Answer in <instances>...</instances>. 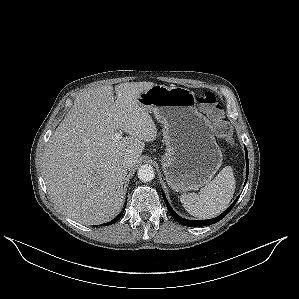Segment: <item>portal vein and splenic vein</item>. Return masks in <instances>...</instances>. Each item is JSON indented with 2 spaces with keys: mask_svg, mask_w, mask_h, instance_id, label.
Listing matches in <instances>:
<instances>
[{
  "mask_svg": "<svg viewBox=\"0 0 299 299\" xmlns=\"http://www.w3.org/2000/svg\"><path fill=\"white\" fill-rule=\"evenodd\" d=\"M122 138V132H117L115 135H114V140L115 141H119L120 139Z\"/></svg>",
  "mask_w": 299,
  "mask_h": 299,
  "instance_id": "portal-vein-and-splenic-vein-1",
  "label": "portal vein and splenic vein"
}]
</instances>
